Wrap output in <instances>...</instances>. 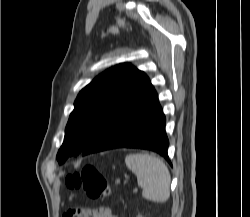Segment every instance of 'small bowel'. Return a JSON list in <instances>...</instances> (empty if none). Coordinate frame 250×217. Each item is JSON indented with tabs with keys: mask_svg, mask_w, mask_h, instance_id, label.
Returning a JSON list of instances; mask_svg holds the SVG:
<instances>
[{
	"mask_svg": "<svg viewBox=\"0 0 250 217\" xmlns=\"http://www.w3.org/2000/svg\"><path fill=\"white\" fill-rule=\"evenodd\" d=\"M72 217H80L79 214L74 213ZM93 217H116L113 215L109 209L107 208H100L99 210L93 213Z\"/></svg>",
	"mask_w": 250,
	"mask_h": 217,
	"instance_id": "c3829d8e",
	"label": "small bowel"
}]
</instances>
